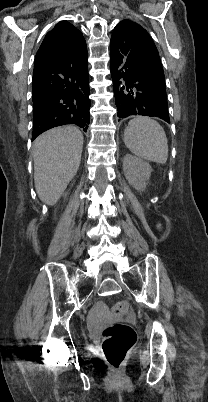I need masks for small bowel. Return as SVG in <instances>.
I'll use <instances>...</instances> for the list:
<instances>
[{"label":"small bowel","instance_id":"1","mask_svg":"<svg viewBox=\"0 0 208 402\" xmlns=\"http://www.w3.org/2000/svg\"><path fill=\"white\" fill-rule=\"evenodd\" d=\"M87 318H89L88 327L91 330H100L102 324L107 323L110 312L107 309H87L85 312Z\"/></svg>","mask_w":208,"mask_h":402}]
</instances>
